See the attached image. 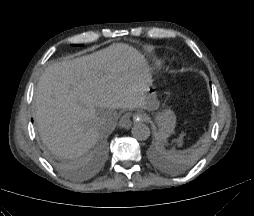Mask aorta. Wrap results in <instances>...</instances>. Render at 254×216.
I'll use <instances>...</instances> for the list:
<instances>
[{"label": "aorta", "instance_id": "1", "mask_svg": "<svg viewBox=\"0 0 254 216\" xmlns=\"http://www.w3.org/2000/svg\"><path fill=\"white\" fill-rule=\"evenodd\" d=\"M131 133L135 139L144 141L150 136V129L146 124L137 122L133 125Z\"/></svg>", "mask_w": 254, "mask_h": 216}]
</instances>
